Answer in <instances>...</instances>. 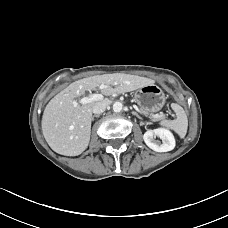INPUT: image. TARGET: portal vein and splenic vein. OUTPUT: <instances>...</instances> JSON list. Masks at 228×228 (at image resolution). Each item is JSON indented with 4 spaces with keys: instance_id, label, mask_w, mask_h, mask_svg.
<instances>
[{
    "instance_id": "obj_1",
    "label": "portal vein and splenic vein",
    "mask_w": 228,
    "mask_h": 228,
    "mask_svg": "<svg viewBox=\"0 0 228 228\" xmlns=\"http://www.w3.org/2000/svg\"><path fill=\"white\" fill-rule=\"evenodd\" d=\"M103 99V95L102 94H96V93H92L89 96L83 97L79 100L80 104H87L93 101H99ZM160 115H154L153 117H159Z\"/></svg>"
}]
</instances>
